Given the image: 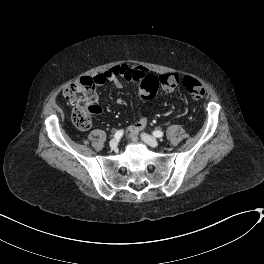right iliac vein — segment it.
<instances>
[{
  "label": "right iliac vein",
  "instance_id": "1",
  "mask_svg": "<svg viewBox=\"0 0 264 264\" xmlns=\"http://www.w3.org/2000/svg\"><path fill=\"white\" fill-rule=\"evenodd\" d=\"M109 145H110V148L112 150H116L117 149V146H118V141L116 139H112L110 141Z\"/></svg>",
  "mask_w": 264,
  "mask_h": 264
}]
</instances>
